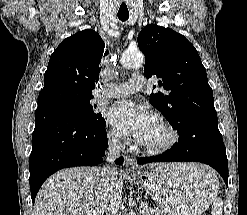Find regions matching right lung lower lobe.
I'll return each mask as SVG.
<instances>
[{
  "label": "right lung lower lobe",
  "instance_id": "1",
  "mask_svg": "<svg viewBox=\"0 0 247 215\" xmlns=\"http://www.w3.org/2000/svg\"><path fill=\"white\" fill-rule=\"evenodd\" d=\"M107 147L105 120L91 123L38 106L29 166L32 202L51 174L67 167L99 165ZM116 163L122 164L123 158Z\"/></svg>",
  "mask_w": 247,
  "mask_h": 215
}]
</instances>
